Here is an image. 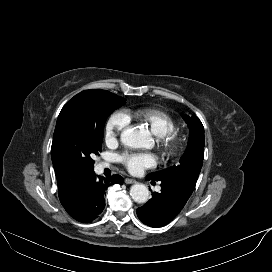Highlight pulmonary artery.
Listing matches in <instances>:
<instances>
[{"instance_id":"e3ab8cb5","label":"pulmonary artery","mask_w":272,"mask_h":272,"mask_svg":"<svg viewBox=\"0 0 272 272\" xmlns=\"http://www.w3.org/2000/svg\"><path fill=\"white\" fill-rule=\"evenodd\" d=\"M104 167V165H100V168L102 169ZM159 189V188H158Z\"/></svg>"}]
</instances>
